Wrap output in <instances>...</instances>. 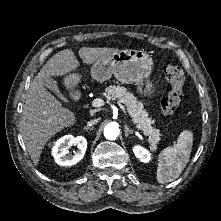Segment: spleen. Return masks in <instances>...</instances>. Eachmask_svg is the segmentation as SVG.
<instances>
[{
    "label": "spleen",
    "instance_id": "3e777b00",
    "mask_svg": "<svg viewBox=\"0 0 221 221\" xmlns=\"http://www.w3.org/2000/svg\"><path fill=\"white\" fill-rule=\"evenodd\" d=\"M192 145V132L183 130L178 136L176 145L160 152L156 173L159 183H169L180 176L189 162Z\"/></svg>",
    "mask_w": 221,
    "mask_h": 221
}]
</instances>
